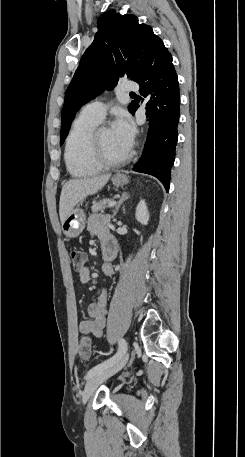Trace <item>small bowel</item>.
Masks as SVG:
<instances>
[{
	"mask_svg": "<svg viewBox=\"0 0 245 457\" xmlns=\"http://www.w3.org/2000/svg\"><path fill=\"white\" fill-rule=\"evenodd\" d=\"M87 229L100 239L101 251L104 259L102 271L105 275L111 276L114 274V267L111 261L117 253L116 242L109 230L107 216L95 213L88 218ZM90 270L84 266L79 271V279L81 283L86 284L90 281ZM89 319L79 323V332L82 334H91L96 338H100L106 324L107 315V292L104 288L98 290L96 298L88 306Z\"/></svg>",
	"mask_w": 245,
	"mask_h": 457,
	"instance_id": "small-bowel-1",
	"label": "small bowel"
}]
</instances>
